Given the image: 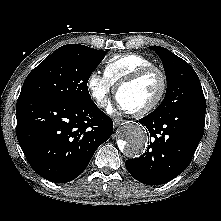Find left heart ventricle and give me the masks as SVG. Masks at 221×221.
I'll use <instances>...</instances> for the list:
<instances>
[{
	"label": "left heart ventricle",
	"instance_id": "left-heart-ventricle-1",
	"mask_svg": "<svg viewBox=\"0 0 221 221\" xmlns=\"http://www.w3.org/2000/svg\"><path fill=\"white\" fill-rule=\"evenodd\" d=\"M161 89L158 73L152 72L139 81L124 87L117 100L126 109H138L151 103Z\"/></svg>",
	"mask_w": 221,
	"mask_h": 221
}]
</instances>
